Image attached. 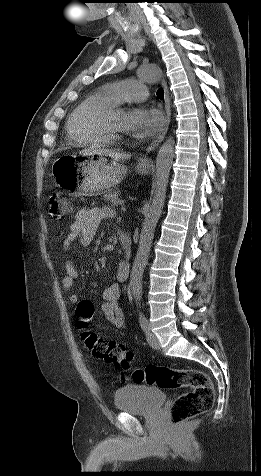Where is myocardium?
<instances>
[{
	"label": "myocardium",
	"mask_w": 261,
	"mask_h": 476,
	"mask_svg": "<svg viewBox=\"0 0 261 476\" xmlns=\"http://www.w3.org/2000/svg\"><path fill=\"white\" fill-rule=\"evenodd\" d=\"M120 109L118 105H115L108 109L99 118L100 129L109 135L111 138L120 139L124 137V132L120 131L113 125V116Z\"/></svg>",
	"instance_id": "obj_1"
}]
</instances>
